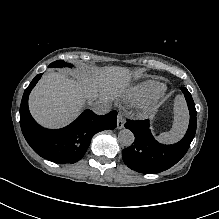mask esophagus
<instances>
[{"instance_id": "esophagus-1", "label": "esophagus", "mask_w": 219, "mask_h": 219, "mask_svg": "<svg viewBox=\"0 0 219 219\" xmlns=\"http://www.w3.org/2000/svg\"><path fill=\"white\" fill-rule=\"evenodd\" d=\"M125 119L121 113L117 116V129H122L124 127Z\"/></svg>"}]
</instances>
